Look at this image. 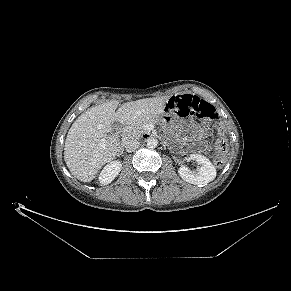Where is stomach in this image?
Listing matches in <instances>:
<instances>
[{"label":"stomach","mask_w":291,"mask_h":291,"mask_svg":"<svg viewBox=\"0 0 291 291\" xmlns=\"http://www.w3.org/2000/svg\"><path fill=\"white\" fill-rule=\"evenodd\" d=\"M174 119V117L171 115V114H168V113H164V114H161L159 115L158 117H156L153 121L154 122H158V123H167L169 121H172ZM184 124H187V125H191L194 129V136L195 137H200L202 135V131L200 129V127L198 125L195 124L194 121L192 120H181Z\"/></svg>","instance_id":"1"}]
</instances>
